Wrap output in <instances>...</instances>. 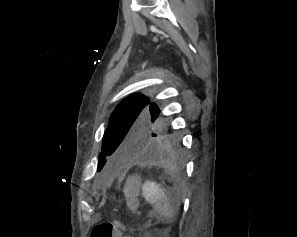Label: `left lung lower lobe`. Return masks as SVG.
<instances>
[{
  "label": "left lung lower lobe",
  "instance_id": "left-lung-lower-lobe-1",
  "mask_svg": "<svg viewBox=\"0 0 297 237\" xmlns=\"http://www.w3.org/2000/svg\"><path fill=\"white\" fill-rule=\"evenodd\" d=\"M181 151L180 143L172 131L164 130L158 139L152 144L150 153L146 155L148 158L163 156L167 153L179 154Z\"/></svg>",
  "mask_w": 297,
  "mask_h": 237
}]
</instances>
